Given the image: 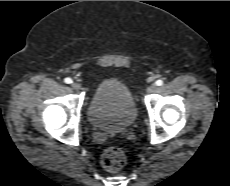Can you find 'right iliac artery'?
Returning a JSON list of instances; mask_svg holds the SVG:
<instances>
[{
  "label": "right iliac artery",
  "mask_w": 230,
  "mask_h": 186,
  "mask_svg": "<svg viewBox=\"0 0 230 186\" xmlns=\"http://www.w3.org/2000/svg\"><path fill=\"white\" fill-rule=\"evenodd\" d=\"M65 83H67V84H70V83H72V79L71 78H65Z\"/></svg>",
  "instance_id": "82829eb1"
}]
</instances>
